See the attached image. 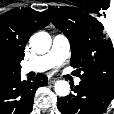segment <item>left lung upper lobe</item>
I'll use <instances>...</instances> for the list:
<instances>
[{"mask_svg": "<svg viewBox=\"0 0 114 114\" xmlns=\"http://www.w3.org/2000/svg\"><path fill=\"white\" fill-rule=\"evenodd\" d=\"M45 12L71 43L70 65L76 69L74 74L83 80L114 86V48L102 35V24L74 8H54Z\"/></svg>", "mask_w": 114, "mask_h": 114, "instance_id": "5c2ea615", "label": "left lung upper lobe"}]
</instances>
